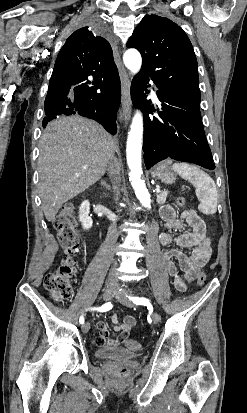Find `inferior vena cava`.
Here are the masks:
<instances>
[{"label": "inferior vena cava", "instance_id": "602c4592", "mask_svg": "<svg viewBox=\"0 0 247 413\" xmlns=\"http://www.w3.org/2000/svg\"><path fill=\"white\" fill-rule=\"evenodd\" d=\"M114 148H116V144H114ZM114 148L110 154V162L109 164H107V170H109L111 176H114V180H117V174H119V162L117 158H115L114 156V152H115ZM113 188L115 192H118L119 188L118 186H116V184H114ZM109 281H113V283H117V279H116V275L114 271H111V273H109Z\"/></svg>", "mask_w": 247, "mask_h": 413}]
</instances>
